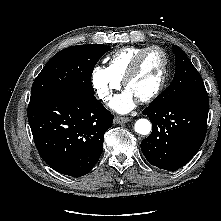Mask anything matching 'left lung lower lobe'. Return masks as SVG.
<instances>
[{
  "label": "left lung lower lobe",
  "instance_id": "left-lung-lower-lobe-1",
  "mask_svg": "<svg viewBox=\"0 0 221 221\" xmlns=\"http://www.w3.org/2000/svg\"><path fill=\"white\" fill-rule=\"evenodd\" d=\"M209 100L185 98L149 105L143 110L152 122V133L141 142L147 161L164 170L186 165L206 136Z\"/></svg>",
  "mask_w": 221,
  "mask_h": 221
}]
</instances>
